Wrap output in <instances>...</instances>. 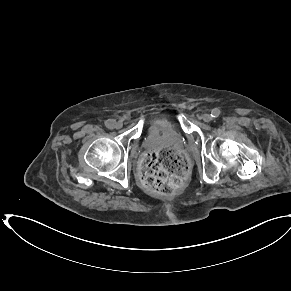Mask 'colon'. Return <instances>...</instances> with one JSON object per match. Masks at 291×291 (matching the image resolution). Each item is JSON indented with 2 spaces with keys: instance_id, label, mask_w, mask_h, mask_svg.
Masks as SVG:
<instances>
[{
  "instance_id": "1",
  "label": "colon",
  "mask_w": 291,
  "mask_h": 291,
  "mask_svg": "<svg viewBox=\"0 0 291 291\" xmlns=\"http://www.w3.org/2000/svg\"><path fill=\"white\" fill-rule=\"evenodd\" d=\"M186 170V158L175 149L151 150L142 159L140 178L148 190L169 195L180 187Z\"/></svg>"
}]
</instances>
